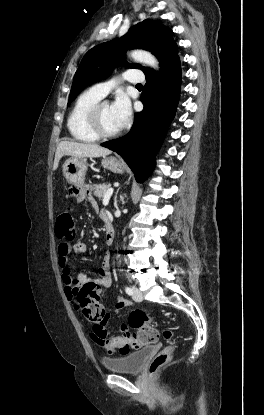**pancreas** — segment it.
Instances as JSON below:
<instances>
[{
  "label": "pancreas",
  "mask_w": 264,
  "mask_h": 415,
  "mask_svg": "<svg viewBox=\"0 0 264 415\" xmlns=\"http://www.w3.org/2000/svg\"><path fill=\"white\" fill-rule=\"evenodd\" d=\"M108 189L109 185L107 184H95L92 188V192L96 197L102 200Z\"/></svg>",
  "instance_id": "obj_1"
}]
</instances>
